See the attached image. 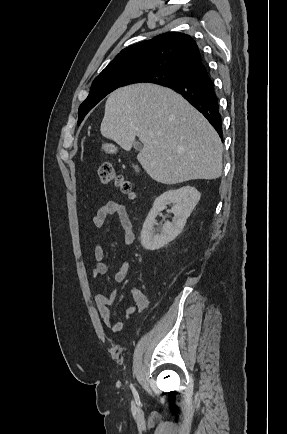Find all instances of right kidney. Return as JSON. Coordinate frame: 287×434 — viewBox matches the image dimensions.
<instances>
[{
	"label": "right kidney",
	"mask_w": 287,
	"mask_h": 434,
	"mask_svg": "<svg viewBox=\"0 0 287 434\" xmlns=\"http://www.w3.org/2000/svg\"><path fill=\"white\" fill-rule=\"evenodd\" d=\"M200 192L192 186H184L177 190H169L160 195L153 204L141 231V245L146 250H158L173 241L183 230L187 218L200 200ZM172 204L174 214L172 222L166 221L160 234L155 233L156 216L167 205Z\"/></svg>",
	"instance_id": "1"
}]
</instances>
